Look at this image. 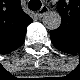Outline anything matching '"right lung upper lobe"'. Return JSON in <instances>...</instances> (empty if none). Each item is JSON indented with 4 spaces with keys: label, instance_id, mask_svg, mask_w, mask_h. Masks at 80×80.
I'll return each mask as SVG.
<instances>
[{
    "label": "right lung upper lobe",
    "instance_id": "right-lung-upper-lobe-1",
    "mask_svg": "<svg viewBox=\"0 0 80 80\" xmlns=\"http://www.w3.org/2000/svg\"><path fill=\"white\" fill-rule=\"evenodd\" d=\"M31 22L32 19L20 9V12L17 15L9 17L8 23H4L6 30L4 28L1 32L2 42L14 38V36H16L15 34L20 35L25 33L27 25Z\"/></svg>",
    "mask_w": 80,
    "mask_h": 80
}]
</instances>
